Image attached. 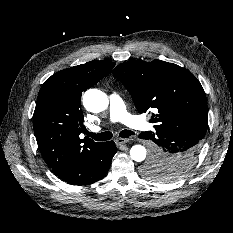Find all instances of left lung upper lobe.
<instances>
[{
    "instance_id": "1",
    "label": "left lung upper lobe",
    "mask_w": 233,
    "mask_h": 233,
    "mask_svg": "<svg viewBox=\"0 0 233 233\" xmlns=\"http://www.w3.org/2000/svg\"><path fill=\"white\" fill-rule=\"evenodd\" d=\"M112 73L129 91L139 113L154 109L150 122L156 123V130H189L204 138L208 128L206 95L189 70L161 60H134L119 64ZM166 170L171 168L165 162L152 158L143 173L156 181L173 180L158 175Z\"/></svg>"
}]
</instances>
